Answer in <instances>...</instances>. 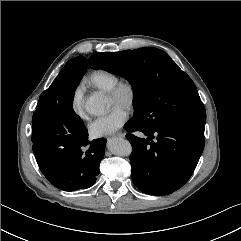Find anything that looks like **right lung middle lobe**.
Here are the masks:
<instances>
[{
  "mask_svg": "<svg viewBox=\"0 0 241 241\" xmlns=\"http://www.w3.org/2000/svg\"><path fill=\"white\" fill-rule=\"evenodd\" d=\"M84 72H67L57 76L38 101L33 114V128L55 147H65L78 141L87 131L73 110L75 90Z\"/></svg>",
  "mask_w": 241,
  "mask_h": 241,
  "instance_id": "obj_1",
  "label": "right lung middle lobe"
}]
</instances>
